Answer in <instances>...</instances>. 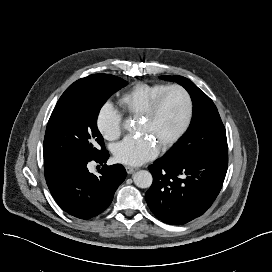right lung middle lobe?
<instances>
[{"label": "right lung middle lobe", "instance_id": "obj_1", "mask_svg": "<svg viewBox=\"0 0 272 272\" xmlns=\"http://www.w3.org/2000/svg\"><path fill=\"white\" fill-rule=\"evenodd\" d=\"M127 82L108 74H94L68 87L47 124L43 155L92 158L106 150L97 116L106 100Z\"/></svg>", "mask_w": 272, "mask_h": 272}]
</instances>
